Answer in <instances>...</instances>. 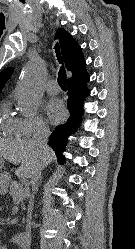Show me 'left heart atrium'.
<instances>
[{
  "instance_id": "39dd6f15",
  "label": "left heart atrium",
  "mask_w": 135,
  "mask_h": 249,
  "mask_svg": "<svg viewBox=\"0 0 135 249\" xmlns=\"http://www.w3.org/2000/svg\"><path fill=\"white\" fill-rule=\"evenodd\" d=\"M45 112L52 122H58L64 114V107L60 101L52 99L47 102Z\"/></svg>"
}]
</instances>
